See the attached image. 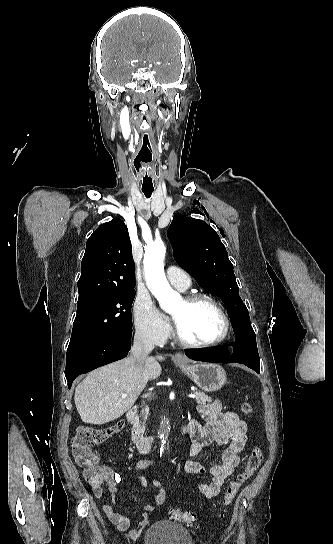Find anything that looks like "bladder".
Segmentation results:
<instances>
[{"instance_id": "bladder-1", "label": "bladder", "mask_w": 333, "mask_h": 544, "mask_svg": "<svg viewBox=\"0 0 333 544\" xmlns=\"http://www.w3.org/2000/svg\"><path fill=\"white\" fill-rule=\"evenodd\" d=\"M143 544H193L190 532L184 526L168 521L151 524L143 535Z\"/></svg>"}]
</instances>
